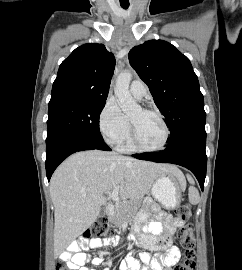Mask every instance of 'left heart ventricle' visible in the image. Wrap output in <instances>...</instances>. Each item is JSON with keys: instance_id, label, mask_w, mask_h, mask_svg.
Segmentation results:
<instances>
[{"instance_id": "left-heart-ventricle-1", "label": "left heart ventricle", "mask_w": 242, "mask_h": 270, "mask_svg": "<svg viewBox=\"0 0 242 270\" xmlns=\"http://www.w3.org/2000/svg\"><path fill=\"white\" fill-rule=\"evenodd\" d=\"M130 119L136 126L138 140L145 147H156L164 138V129L157 116L136 110Z\"/></svg>"}]
</instances>
